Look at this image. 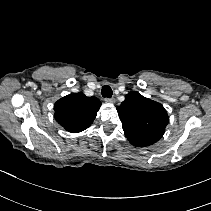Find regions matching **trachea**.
<instances>
[{"label": "trachea", "mask_w": 211, "mask_h": 211, "mask_svg": "<svg viewBox=\"0 0 211 211\" xmlns=\"http://www.w3.org/2000/svg\"><path fill=\"white\" fill-rule=\"evenodd\" d=\"M101 94L105 98H111L112 97V94H113L111 87L108 86V85H104L102 87Z\"/></svg>", "instance_id": "1"}]
</instances>
